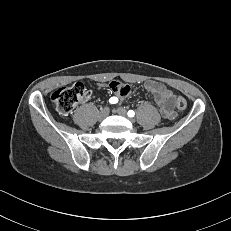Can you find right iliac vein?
<instances>
[{
  "label": "right iliac vein",
  "mask_w": 231,
  "mask_h": 231,
  "mask_svg": "<svg viewBox=\"0 0 231 231\" xmlns=\"http://www.w3.org/2000/svg\"><path fill=\"white\" fill-rule=\"evenodd\" d=\"M109 115V108H104V109H102L101 111H100V113H99V119L100 120H103V119H105L107 116Z\"/></svg>",
  "instance_id": "63e3f726"
}]
</instances>
